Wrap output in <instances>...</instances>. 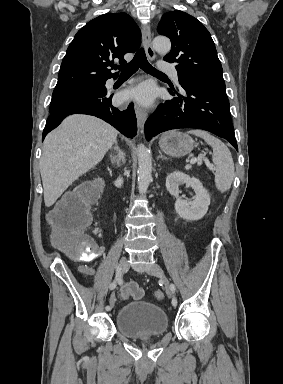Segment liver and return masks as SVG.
<instances>
[{
	"label": "liver",
	"mask_w": 283,
	"mask_h": 384,
	"mask_svg": "<svg viewBox=\"0 0 283 384\" xmlns=\"http://www.w3.org/2000/svg\"><path fill=\"white\" fill-rule=\"evenodd\" d=\"M117 130L94 116H68L44 140L39 164L47 208L103 160L116 142Z\"/></svg>",
	"instance_id": "obj_1"
}]
</instances>
